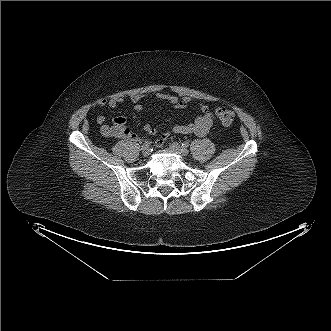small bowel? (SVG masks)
I'll list each match as a JSON object with an SVG mask.
<instances>
[{"instance_id": "obj_1", "label": "small bowel", "mask_w": 331, "mask_h": 331, "mask_svg": "<svg viewBox=\"0 0 331 331\" xmlns=\"http://www.w3.org/2000/svg\"><path fill=\"white\" fill-rule=\"evenodd\" d=\"M145 97V94H133L130 97V101L134 104V109L137 112L143 111L144 106L141 102ZM155 97L159 100L168 102L175 109H184L192 101L190 97L179 98L175 95L165 93H158ZM124 102L125 100L122 97H113L110 99H99L96 103V106H108L110 108H115ZM198 107L202 112V115L196 117L195 120L189 124L172 126L169 131L163 133L159 137V139L156 141V145H163V143L171 134H194L197 136L206 135L214 123V115L209 112V107L206 104L198 103ZM96 122L98 125H100L101 132L105 136L124 138L133 142L141 141V138L130 130L124 116H116L111 124H107L105 117L101 114H98L96 116ZM144 130L149 135H156L157 133L156 129L151 124H145Z\"/></svg>"}]
</instances>
